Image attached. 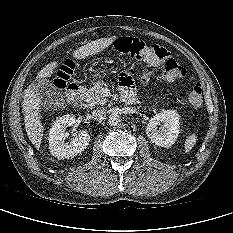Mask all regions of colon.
Listing matches in <instances>:
<instances>
[{
  "label": "colon",
  "instance_id": "1",
  "mask_svg": "<svg viewBox=\"0 0 233 233\" xmlns=\"http://www.w3.org/2000/svg\"><path fill=\"white\" fill-rule=\"evenodd\" d=\"M118 52L135 59H143L149 62L158 63L161 67L162 76L167 81H175L183 78L187 70L179 64L169 51L157 44H148L142 40L131 37H121L115 42ZM74 69L72 61H66L60 68L56 84L64 87L70 79ZM190 105L199 109L203 104V89L200 82H195L188 95Z\"/></svg>",
  "mask_w": 233,
  "mask_h": 233
}]
</instances>
